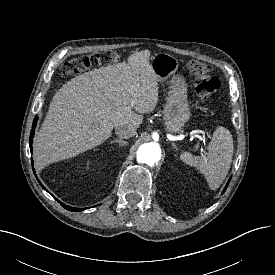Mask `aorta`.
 <instances>
[{
	"instance_id": "762f6f07",
	"label": "aorta",
	"mask_w": 275,
	"mask_h": 275,
	"mask_svg": "<svg viewBox=\"0 0 275 275\" xmlns=\"http://www.w3.org/2000/svg\"><path fill=\"white\" fill-rule=\"evenodd\" d=\"M136 157L138 163L153 166L161 158V149L156 143H145L138 148Z\"/></svg>"
}]
</instances>
